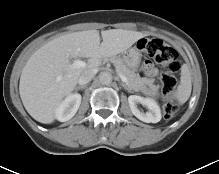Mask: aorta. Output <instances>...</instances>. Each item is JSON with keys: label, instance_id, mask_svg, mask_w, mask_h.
<instances>
[{"label": "aorta", "instance_id": "aorta-1", "mask_svg": "<svg viewBox=\"0 0 219 174\" xmlns=\"http://www.w3.org/2000/svg\"><path fill=\"white\" fill-rule=\"evenodd\" d=\"M113 80V76L110 72H102L99 75V81L103 85H109Z\"/></svg>", "mask_w": 219, "mask_h": 174}]
</instances>
